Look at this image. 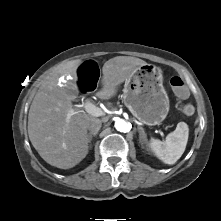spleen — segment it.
<instances>
[{
	"mask_svg": "<svg viewBox=\"0 0 221 221\" xmlns=\"http://www.w3.org/2000/svg\"><path fill=\"white\" fill-rule=\"evenodd\" d=\"M189 136V128L185 122H179L176 129L169 133L165 141L152 139L149 147L165 164H175L183 155Z\"/></svg>",
	"mask_w": 221,
	"mask_h": 221,
	"instance_id": "obj_1",
	"label": "spleen"
}]
</instances>
